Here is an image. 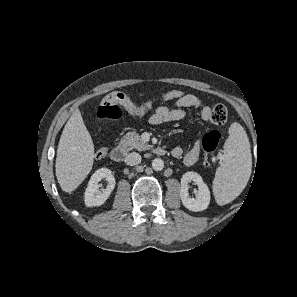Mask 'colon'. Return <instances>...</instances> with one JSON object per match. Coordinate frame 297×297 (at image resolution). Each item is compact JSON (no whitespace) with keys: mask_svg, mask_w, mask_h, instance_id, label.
I'll list each match as a JSON object with an SVG mask.
<instances>
[{"mask_svg":"<svg viewBox=\"0 0 297 297\" xmlns=\"http://www.w3.org/2000/svg\"><path fill=\"white\" fill-rule=\"evenodd\" d=\"M184 94L181 90H169L159 98L162 101H175L181 98ZM120 104L125 108L134 104L133 100L122 92H114L107 99L102 101L97 107L96 114L100 119L119 120L122 116ZM155 104V100H148L142 106L149 110ZM126 109V108H125ZM210 122L217 127L223 126L228 120V110L222 104L215 105L210 113ZM220 141V133L211 131L207 133L202 140L203 148L206 153V162H209L211 154L216 150ZM108 153L106 147H100L96 150L95 156L98 159L104 158Z\"/></svg>","mask_w":297,"mask_h":297,"instance_id":"1","label":"colon"}]
</instances>
